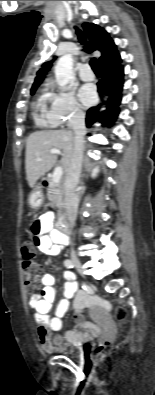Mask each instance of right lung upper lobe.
I'll return each instance as SVG.
<instances>
[{
    "label": "right lung upper lobe",
    "instance_id": "right-lung-upper-lobe-1",
    "mask_svg": "<svg viewBox=\"0 0 155 395\" xmlns=\"http://www.w3.org/2000/svg\"><path fill=\"white\" fill-rule=\"evenodd\" d=\"M84 31L89 39V45L86 48L88 52L100 51L101 57L98 59L99 65H104L108 62L114 61L120 58L116 50L114 42L109 37V34L99 26L92 23H84ZM52 61L45 62L42 68L37 72V77L31 88V93L35 92L36 88L42 82L45 72L52 66Z\"/></svg>",
    "mask_w": 155,
    "mask_h": 395
}]
</instances>
